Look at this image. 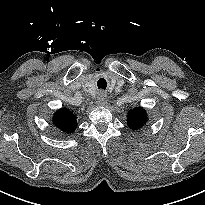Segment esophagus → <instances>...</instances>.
Here are the masks:
<instances>
[{"mask_svg": "<svg viewBox=\"0 0 205 205\" xmlns=\"http://www.w3.org/2000/svg\"><path fill=\"white\" fill-rule=\"evenodd\" d=\"M107 96L104 93H100L97 97L96 103L98 106H105L107 104Z\"/></svg>", "mask_w": 205, "mask_h": 205, "instance_id": "esophagus-1", "label": "esophagus"}]
</instances>
